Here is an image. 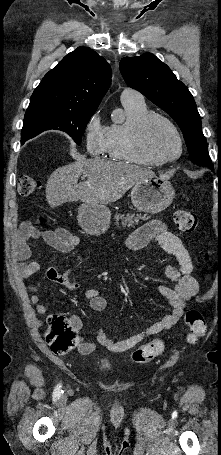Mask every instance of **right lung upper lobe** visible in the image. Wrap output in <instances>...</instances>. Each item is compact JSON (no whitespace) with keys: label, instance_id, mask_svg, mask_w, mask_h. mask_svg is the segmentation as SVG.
I'll return each mask as SVG.
<instances>
[{"label":"right lung upper lobe","instance_id":"cb5924a9","mask_svg":"<svg viewBox=\"0 0 221 455\" xmlns=\"http://www.w3.org/2000/svg\"><path fill=\"white\" fill-rule=\"evenodd\" d=\"M111 67L88 47L66 55L33 92L29 106L96 111L111 82Z\"/></svg>","mask_w":221,"mask_h":455}]
</instances>
